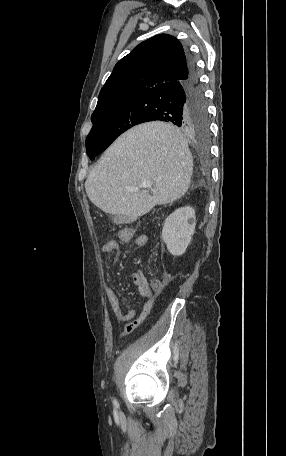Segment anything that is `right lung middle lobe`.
Masks as SVG:
<instances>
[{
  "mask_svg": "<svg viewBox=\"0 0 286 456\" xmlns=\"http://www.w3.org/2000/svg\"><path fill=\"white\" fill-rule=\"evenodd\" d=\"M136 98L137 95L117 99L94 111L91 116L93 127L86 139V151L91 160L120 134L142 122V107ZM192 130L207 138L208 117Z\"/></svg>",
  "mask_w": 286,
  "mask_h": 456,
  "instance_id": "dd1d6c3e",
  "label": "right lung middle lobe"
}]
</instances>
